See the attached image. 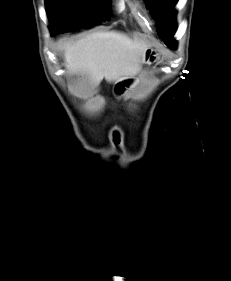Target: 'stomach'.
Wrapping results in <instances>:
<instances>
[{"label": "stomach", "instance_id": "obj_1", "mask_svg": "<svg viewBox=\"0 0 231 281\" xmlns=\"http://www.w3.org/2000/svg\"><path fill=\"white\" fill-rule=\"evenodd\" d=\"M158 58L156 51L153 49H147L144 53L143 62L144 63H152L155 62Z\"/></svg>", "mask_w": 231, "mask_h": 281}]
</instances>
